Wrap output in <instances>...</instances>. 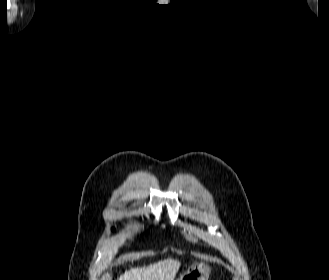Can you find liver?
Listing matches in <instances>:
<instances>
[{
  "label": "liver",
  "instance_id": "liver-1",
  "mask_svg": "<svg viewBox=\"0 0 329 280\" xmlns=\"http://www.w3.org/2000/svg\"><path fill=\"white\" fill-rule=\"evenodd\" d=\"M180 265L178 260L165 259L149 266L131 268L117 280H174Z\"/></svg>",
  "mask_w": 329,
  "mask_h": 280
}]
</instances>
